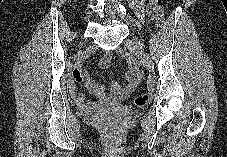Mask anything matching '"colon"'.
<instances>
[{"label": "colon", "instance_id": "5ec220e1", "mask_svg": "<svg viewBox=\"0 0 227 157\" xmlns=\"http://www.w3.org/2000/svg\"><path fill=\"white\" fill-rule=\"evenodd\" d=\"M148 16L158 23H161L164 16V6L162 0H148L147 4ZM150 102L148 94H141L135 98V105L138 107H145Z\"/></svg>", "mask_w": 227, "mask_h": 157}]
</instances>
